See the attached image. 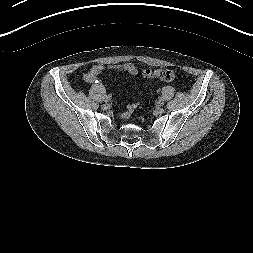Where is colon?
<instances>
[{
    "instance_id": "5ec220e1",
    "label": "colon",
    "mask_w": 253,
    "mask_h": 253,
    "mask_svg": "<svg viewBox=\"0 0 253 253\" xmlns=\"http://www.w3.org/2000/svg\"><path fill=\"white\" fill-rule=\"evenodd\" d=\"M144 75L148 77L155 76L165 81H173L176 79V74L172 70H169V69H159V70H154V71H152L151 69H146L144 71ZM134 108H135L134 105H129L128 112H132Z\"/></svg>"
}]
</instances>
